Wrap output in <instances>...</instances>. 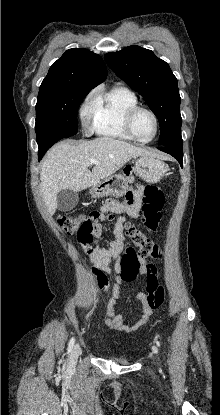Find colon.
Wrapping results in <instances>:
<instances>
[{
  "instance_id": "obj_1",
  "label": "colon",
  "mask_w": 220,
  "mask_h": 415,
  "mask_svg": "<svg viewBox=\"0 0 220 415\" xmlns=\"http://www.w3.org/2000/svg\"><path fill=\"white\" fill-rule=\"evenodd\" d=\"M163 202L164 196L158 187L147 186L145 188L142 215L144 226L149 231L158 229ZM98 215L97 212L85 215L62 214L57 216L56 221L62 232L72 234L82 231L89 240L92 233L89 226L97 221ZM127 228L132 245L125 250L121 257V278L125 282H132L139 273L142 259L158 260L162 253L159 246L151 241L141 229L131 223L127 224ZM156 273V267L153 264H148L146 294L149 305L160 308L164 302V292L158 284Z\"/></svg>"
}]
</instances>
